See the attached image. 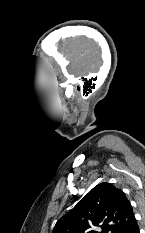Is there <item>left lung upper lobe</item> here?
I'll return each instance as SVG.
<instances>
[{
	"label": "left lung upper lobe",
	"instance_id": "5c2ea615",
	"mask_svg": "<svg viewBox=\"0 0 145 233\" xmlns=\"http://www.w3.org/2000/svg\"><path fill=\"white\" fill-rule=\"evenodd\" d=\"M135 222L125 193L103 182L60 218L52 233H128ZM97 227L102 231L98 232Z\"/></svg>",
	"mask_w": 145,
	"mask_h": 233
}]
</instances>
